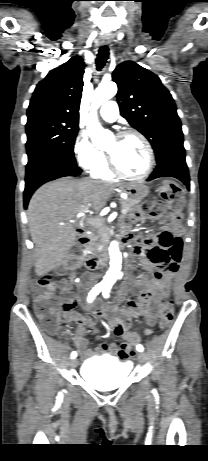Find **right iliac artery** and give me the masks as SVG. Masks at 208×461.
<instances>
[{
  "label": "right iliac artery",
  "instance_id": "obj_1",
  "mask_svg": "<svg viewBox=\"0 0 208 461\" xmlns=\"http://www.w3.org/2000/svg\"><path fill=\"white\" fill-rule=\"evenodd\" d=\"M103 286H100V285H96L92 290L91 292L89 293V296H88V302H92V300L95 298L96 295H98L101 290H103ZM77 357V353L75 351H73L71 353V358L74 359Z\"/></svg>",
  "mask_w": 208,
  "mask_h": 461
}]
</instances>
